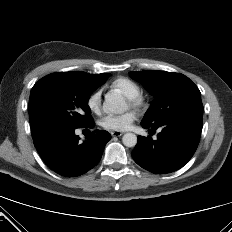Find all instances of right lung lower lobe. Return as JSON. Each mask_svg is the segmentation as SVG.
I'll use <instances>...</instances> for the list:
<instances>
[{
	"instance_id": "98d812e1",
	"label": "right lung lower lobe",
	"mask_w": 232,
	"mask_h": 232,
	"mask_svg": "<svg viewBox=\"0 0 232 232\" xmlns=\"http://www.w3.org/2000/svg\"><path fill=\"white\" fill-rule=\"evenodd\" d=\"M87 127H94V123ZM75 129L53 127L32 131L41 158L52 170L65 177L82 175L97 165L111 139L107 131L95 130L81 143Z\"/></svg>"
}]
</instances>
